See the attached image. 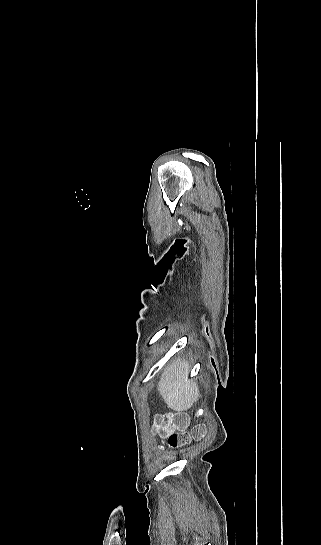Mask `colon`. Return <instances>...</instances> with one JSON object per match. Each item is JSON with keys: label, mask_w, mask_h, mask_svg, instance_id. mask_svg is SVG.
<instances>
[{"label": "colon", "mask_w": 321, "mask_h": 545, "mask_svg": "<svg viewBox=\"0 0 321 545\" xmlns=\"http://www.w3.org/2000/svg\"><path fill=\"white\" fill-rule=\"evenodd\" d=\"M187 423V417L180 413L159 415L154 420L153 431L168 447L178 448L188 444L192 438L198 439L204 433L201 427L194 429L191 435L184 432Z\"/></svg>", "instance_id": "5ec220e1"}]
</instances>
